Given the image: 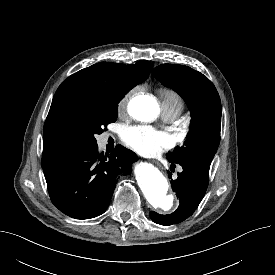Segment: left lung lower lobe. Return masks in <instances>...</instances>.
Returning a JSON list of instances; mask_svg holds the SVG:
<instances>
[{"instance_id":"1","label":"left lung lower lobe","mask_w":275,"mask_h":275,"mask_svg":"<svg viewBox=\"0 0 275 275\" xmlns=\"http://www.w3.org/2000/svg\"><path fill=\"white\" fill-rule=\"evenodd\" d=\"M178 164L182 166L183 171L177 173L178 177L176 180L171 179V173L169 178L171 179L172 189L179 198V207L169 215H161L156 212L150 213L152 221L165 226L180 223L191 216L204 197L208 187L210 164L198 160H190Z\"/></svg>"}]
</instances>
